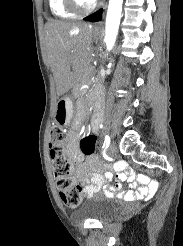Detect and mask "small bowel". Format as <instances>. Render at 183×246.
Segmentation results:
<instances>
[{"instance_id": "obj_1", "label": "small bowel", "mask_w": 183, "mask_h": 246, "mask_svg": "<svg viewBox=\"0 0 183 246\" xmlns=\"http://www.w3.org/2000/svg\"><path fill=\"white\" fill-rule=\"evenodd\" d=\"M98 125L92 124V131L96 133ZM79 134L76 129L70 131L67 141V150L69 156L77 163L76 175L80 180L89 179L90 183L83 187V193L86 197H91L98 189L108 193V198H121L127 200L155 198L157 191H160L159 181H155L150 175H137L136 179L133 174H138V169H125L126 160L116 161V170H123L116 174V182H110L113 173L110 169L99 163L98 157H86L79 151L81 147ZM126 183H135L136 192L126 191L122 181Z\"/></svg>"}]
</instances>
